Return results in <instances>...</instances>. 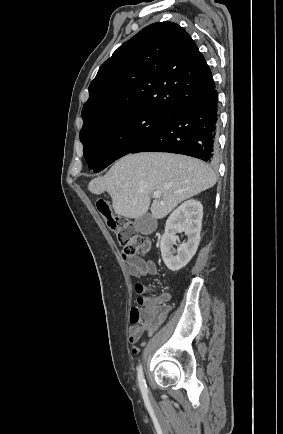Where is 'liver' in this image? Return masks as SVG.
Here are the masks:
<instances>
[{
	"mask_svg": "<svg viewBox=\"0 0 283 434\" xmlns=\"http://www.w3.org/2000/svg\"><path fill=\"white\" fill-rule=\"evenodd\" d=\"M216 175L204 162L180 154L143 152L120 158L101 177L92 179L93 194L108 192L118 215L138 218L147 213L151 195L160 191L150 207L154 219L167 216L178 204L213 187Z\"/></svg>",
	"mask_w": 283,
	"mask_h": 434,
	"instance_id": "obj_1",
	"label": "liver"
}]
</instances>
